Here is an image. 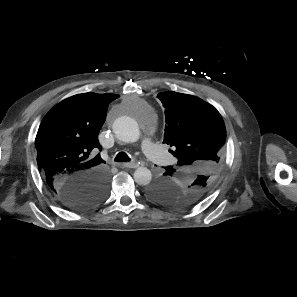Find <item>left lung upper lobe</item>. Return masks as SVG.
Returning <instances> with one entry per match:
<instances>
[{"instance_id": "1", "label": "left lung upper lobe", "mask_w": 297, "mask_h": 297, "mask_svg": "<svg viewBox=\"0 0 297 297\" xmlns=\"http://www.w3.org/2000/svg\"><path fill=\"white\" fill-rule=\"evenodd\" d=\"M157 97L165 109L163 142L178 161L165 168L147 193L164 205L186 208L204 197L222 170L225 124L219 112L198 97L173 91Z\"/></svg>"}]
</instances>
